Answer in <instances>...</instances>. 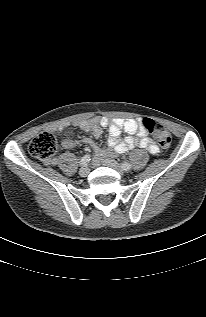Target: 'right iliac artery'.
Segmentation results:
<instances>
[{
    "mask_svg": "<svg viewBox=\"0 0 206 317\" xmlns=\"http://www.w3.org/2000/svg\"><path fill=\"white\" fill-rule=\"evenodd\" d=\"M91 156L90 155H85L81 158V161H80V165L82 166H87V164L89 163V161L91 160L90 158Z\"/></svg>",
    "mask_w": 206,
    "mask_h": 317,
    "instance_id": "right-iliac-artery-1",
    "label": "right iliac artery"
}]
</instances>
